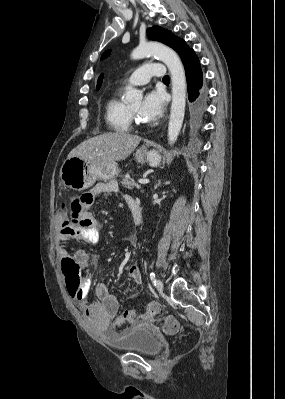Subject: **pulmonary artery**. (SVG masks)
<instances>
[{
    "label": "pulmonary artery",
    "mask_w": 285,
    "mask_h": 399,
    "mask_svg": "<svg viewBox=\"0 0 285 399\" xmlns=\"http://www.w3.org/2000/svg\"><path fill=\"white\" fill-rule=\"evenodd\" d=\"M166 76L165 66L162 63L148 62L136 69L129 77L125 79V83L132 85L146 84L152 77L164 78Z\"/></svg>",
    "instance_id": "obj_1"
}]
</instances>
